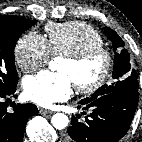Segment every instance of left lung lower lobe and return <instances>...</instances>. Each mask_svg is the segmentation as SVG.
Here are the masks:
<instances>
[{
    "mask_svg": "<svg viewBox=\"0 0 142 142\" xmlns=\"http://www.w3.org/2000/svg\"><path fill=\"white\" fill-rule=\"evenodd\" d=\"M80 104L92 112L79 121L72 116L64 142H117L128 131L138 105V87H127ZM80 108V106H79Z\"/></svg>",
    "mask_w": 142,
    "mask_h": 142,
    "instance_id": "0a47b994",
    "label": "left lung lower lobe"
}]
</instances>
